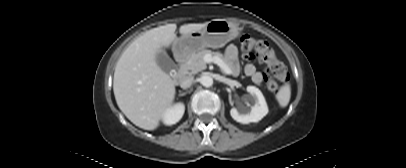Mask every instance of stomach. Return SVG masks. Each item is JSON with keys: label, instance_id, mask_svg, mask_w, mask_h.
I'll return each mask as SVG.
<instances>
[{"label": "stomach", "instance_id": "obj_1", "mask_svg": "<svg viewBox=\"0 0 406 168\" xmlns=\"http://www.w3.org/2000/svg\"><path fill=\"white\" fill-rule=\"evenodd\" d=\"M237 24L225 19L209 21L201 31L192 32L177 39L173 44L176 57H183L205 47L220 48L239 35Z\"/></svg>", "mask_w": 406, "mask_h": 168}]
</instances>
